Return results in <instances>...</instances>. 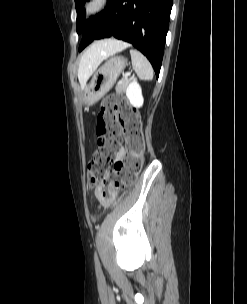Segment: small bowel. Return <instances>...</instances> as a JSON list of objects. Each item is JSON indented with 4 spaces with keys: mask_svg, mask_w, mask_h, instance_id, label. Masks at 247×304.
Masks as SVG:
<instances>
[{
    "mask_svg": "<svg viewBox=\"0 0 247 304\" xmlns=\"http://www.w3.org/2000/svg\"><path fill=\"white\" fill-rule=\"evenodd\" d=\"M124 152L123 151H119L117 158L120 159L123 156Z\"/></svg>",
    "mask_w": 247,
    "mask_h": 304,
    "instance_id": "small-bowel-1",
    "label": "small bowel"
}]
</instances>
